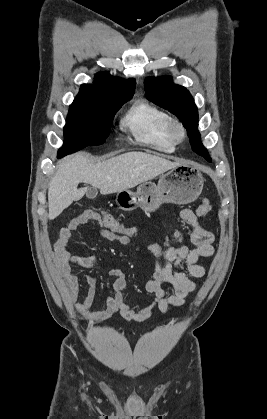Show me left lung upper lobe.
Segmentation results:
<instances>
[{"mask_svg": "<svg viewBox=\"0 0 267 419\" xmlns=\"http://www.w3.org/2000/svg\"><path fill=\"white\" fill-rule=\"evenodd\" d=\"M144 88L148 100L167 109L183 122L192 150L211 161L206 148L201 143L200 133L197 130V107L189 91L183 86L174 84L171 77L146 78Z\"/></svg>", "mask_w": 267, "mask_h": 419, "instance_id": "5c2ea615", "label": "left lung upper lobe"}]
</instances>
